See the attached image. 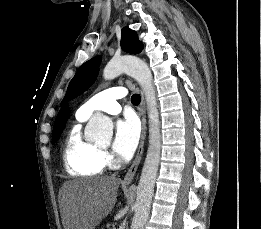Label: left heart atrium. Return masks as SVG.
<instances>
[{
  "label": "left heart atrium",
  "instance_id": "1",
  "mask_svg": "<svg viewBox=\"0 0 261 229\" xmlns=\"http://www.w3.org/2000/svg\"><path fill=\"white\" fill-rule=\"evenodd\" d=\"M140 136V123L135 117L120 120L115 129L113 150L124 159L130 158L138 146Z\"/></svg>",
  "mask_w": 261,
  "mask_h": 229
}]
</instances>
